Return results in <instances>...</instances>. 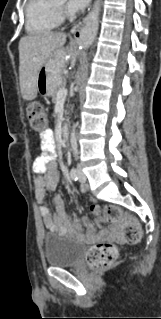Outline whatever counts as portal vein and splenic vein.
<instances>
[{"label":"portal vein and splenic vein","instance_id":"obj_1","mask_svg":"<svg viewBox=\"0 0 161 319\" xmlns=\"http://www.w3.org/2000/svg\"><path fill=\"white\" fill-rule=\"evenodd\" d=\"M67 95V90L65 88H62L60 89L58 92H57V98H65Z\"/></svg>","mask_w":161,"mask_h":319}]
</instances>
